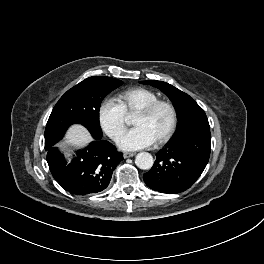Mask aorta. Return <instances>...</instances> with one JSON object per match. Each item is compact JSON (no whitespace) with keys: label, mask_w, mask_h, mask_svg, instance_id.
<instances>
[{"label":"aorta","mask_w":264,"mask_h":264,"mask_svg":"<svg viewBox=\"0 0 264 264\" xmlns=\"http://www.w3.org/2000/svg\"><path fill=\"white\" fill-rule=\"evenodd\" d=\"M135 163L140 169L147 170L153 166L154 160L150 153L140 152L135 158Z\"/></svg>","instance_id":"762f6f07"}]
</instances>
